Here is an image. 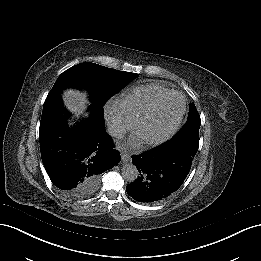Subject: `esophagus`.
<instances>
[{
    "instance_id": "34e87169",
    "label": "esophagus",
    "mask_w": 261,
    "mask_h": 261,
    "mask_svg": "<svg viewBox=\"0 0 261 261\" xmlns=\"http://www.w3.org/2000/svg\"><path fill=\"white\" fill-rule=\"evenodd\" d=\"M121 160L123 163H127L130 161V155L126 151L121 152Z\"/></svg>"
}]
</instances>
